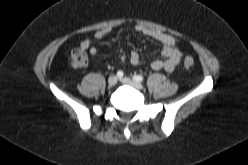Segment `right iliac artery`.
Returning a JSON list of instances; mask_svg holds the SVG:
<instances>
[{
	"label": "right iliac artery",
	"instance_id": "82829eb1",
	"mask_svg": "<svg viewBox=\"0 0 248 165\" xmlns=\"http://www.w3.org/2000/svg\"><path fill=\"white\" fill-rule=\"evenodd\" d=\"M123 75H124V73H123L122 71H118V72H117V77H118V78H122Z\"/></svg>",
	"mask_w": 248,
	"mask_h": 165
}]
</instances>
